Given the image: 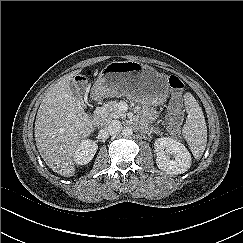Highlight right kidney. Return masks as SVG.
<instances>
[{"label": "right kidney", "mask_w": 243, "mask_h": 243, "mask_svg": "<svg viewBox=\"0 0 243 243\" xmlns=\"http://www.w3.org/2000/svg\"><path fill=\"white\" fill-rule=\"evenodd\" d=\"M98 145L92 140H82L75 152L74 161L78 165L88 164L94 157Z\"/></svg>", "instance_id": "1"}]
</instances>
